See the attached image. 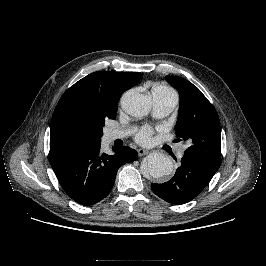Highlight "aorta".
I'll return each instance as SVG.
<instances>
[{
	"mask_svg": "<svg viewBox=\"0 0 266 266\" xmlns=\"http://www.w3.org/2000/svg\"><path fill=\"white\" fill-rule=\"evenodd\" d=\"M121 105L127 114L143 117L151 108V98L146 94L129 90L121 97ZM142 171L153 178H161L172 173L173 162L165 154L151 153L142 165Z\"/></svg>",
	"mask_w": 266,
	"mask_h": 266,
	"instance_id": "762f6f07",
	"label": "aorta"
}]
</instances>
